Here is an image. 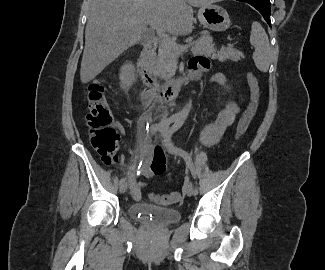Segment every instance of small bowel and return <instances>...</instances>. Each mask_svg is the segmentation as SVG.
I'll return each mask as SVG.
<instances>
[{"instance_id":"small-bowel-1","label":"small bowel","mask_w":325,"mask_h":270,"mask_svg":"<svg viewBox=\"0 0 325 270\" xmlns=\"http://www.w3.org/2000/svg\"><path fill=\"white\" fill-rule=\"evenodd\" d=\"M189 69L192 75H197L199 73H205L210 69V61L204 56H196L190 60ZM212 81L219 84H225V76L221 73H216L213 75ZM240 112V107L234 99H230L216 119L207 124L201 132V140L205 145L215 144L224 134V132L235 122L237 115ZM122 130V128L120 127ZM166 170L165 157L161 151L156 154V159L153 161L151 170L145 169L143 175L145 177H151L152 173L162 174ZM131 194L134 199H139L141 197V190L144 186L143 183L137 182L134 176L129 175Z\"/></svg>"}]
</instances>
